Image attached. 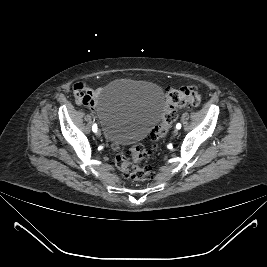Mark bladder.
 Masks as SVG:
<instances>
[{"label":"bladder","mask_w":267,"mask_h":267,"mask_svg":"<svg viewBox=\"0 0 267 267\" xmlns=\"http://www.w3.org/2000/svg\"><path fill=\"white\" fill-rule=\"evenodd\" d=\"M164 109L161 88L131 79L110 82L97 99V115L106 137L118 146L143 139L161 119Z\"/></svg>","instance_id":"obj_1"}]
</instances>
